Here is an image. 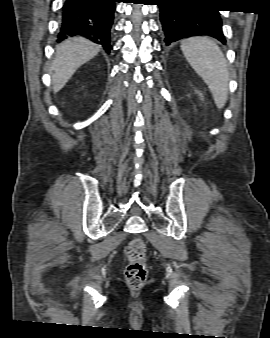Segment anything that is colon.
<instances>
[{"label":"colon","instance_id":"obj_1","mask_svg":"<svg viewBox=\"0 0 270 338\" xmlns=\"http://www.w3.org/2000/svg\"><path fill=\"white\" fill-rule=\"evenodd\" d=\"M127 263L124 274L128 286L140 288L147 278L146 244L140 238L130 241L126 250Z\"/></svg>","mask_w":270,"mask_h":338}]
</instances>
